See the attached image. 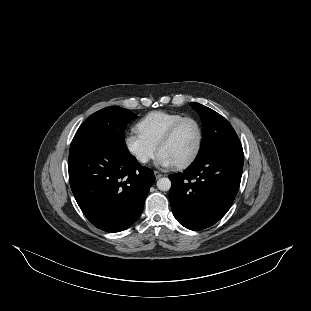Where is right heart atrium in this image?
Instances as JSON below:
<instances>
[{
    "instance_id": "right-heart-atrium-1",
    "label": "right heart atrium",
    "mask_w": 311,
    "mask_h": 311,
    "mask_svg": "<svg viewBox=\"0 0 311 311\" xmlns=\"http://www.w3.org/2000/svg\"><path fill=\"white\" fill-rule=\"evenodd\" d=\"M127 153L139 165H147L157 154V148L148 144L134 129L124 138Z\"/></svg>"
}]
</instances>
